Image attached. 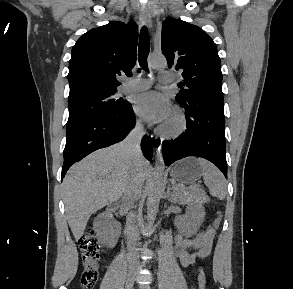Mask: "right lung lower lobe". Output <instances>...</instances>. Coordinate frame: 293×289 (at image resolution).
Listing matches in <instances>:
<instances>
[{
  "instance_id": "1",
  "label": "right lung lower lobe",
  "mask_w": 293,
  "mask_h": 289,
  "mask_svg": "<svg viewBox=\"0 0 293 289\" xmlns=\"http://www.w3.org/2000/svg\"><path fill=\"white\" fill-rule=\"evenodd\" d=\"M135 116L132 106L125 109L94 116L67 127L64 163L61 178L77 161L91 152L123 140L134 127ZM144 156L151 160L152 140L144 136L141 141Z\"/></svg>"
}]
</instances>
